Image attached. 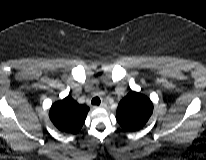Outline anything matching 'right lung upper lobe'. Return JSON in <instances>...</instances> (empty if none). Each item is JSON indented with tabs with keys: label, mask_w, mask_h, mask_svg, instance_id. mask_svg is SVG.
<instances>
[{
	"label": "right lung upper lobe",
	"mask_w": 206,
	"mask_h": 160,
	"mask_svg": "<svg viewBox=\"0 0 206 160\" xmlns=\"http://www.w3.org/2000/svg\"><path fill=\"white\" fill-rule=\"evenodd\" d=\"M89 108L75 101L70 95L52 104L49 117L61 132L76 134L84 124Z\"/></svg>",
	"instance_id": "1"
}]
</instances>
